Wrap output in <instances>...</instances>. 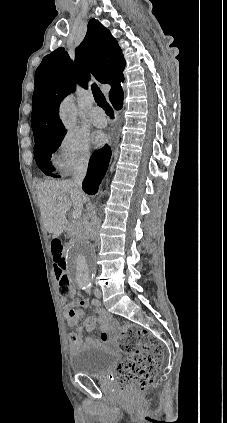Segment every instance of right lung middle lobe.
<instances>
[{"mask_svg": "<svg viewBox=\"0 0 227 423\" xmlns=\"http://www.w3.org/2000/svg\"><path fill=\"white\" fill-rule=\"evenodd\" d=\"M64 134L41 137L34 139V156L38 167L45 173L49 174L53 170L50 162L51 153H54L60 146ZM59 177L58 175H52Z\"/></svg>", "mask_w": 227, "mask_h": 423, "instance_id": "1", "label": "right lung middle lobe"}]
</instances>
